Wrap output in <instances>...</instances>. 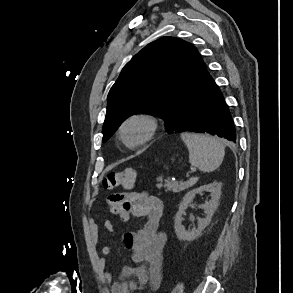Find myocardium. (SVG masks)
I'll return each mask as SVG.
<instances>
[{
  "mask_svg": "<svg viewBox=\"0 0 293 293\" xmlns=\"http://www.w3.org/2000/svg\"><path fill=\"white\" fill-rule=\"evenodd\" d=\"M132 122H141L146 126V132L145 135L138 141L130 143L126 140L124 132L127 125H129ZM158 130V122L155 117L149 115V114H133L129 117H127L120 125L119 127V135L122 140V142L129 148H137L140 147L146 143H148L150 140L153 139L156 132Z\"/></svg>",
  "mask_w": 293,
  "mask_h": 293,
  "instance_id": "obj_1",
  "label": "myocardium"
}]
</instances>
